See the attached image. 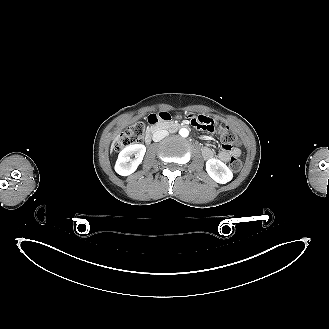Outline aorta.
<instances>
[{"label": "aorta", "mask_w": 329, "mask_h": 329, "mask_svg": "<svg viewBox=\"0 0 329 329\" xmlns=\"http://www.w3.org/2000/svg\"><path fill=\"white\" fill-rule=\"evenodd\" d=\"M179 135H180L181 137H187V136L189 135V130L186 129V128H181V129L179 130Z\"/></svg>", "instance_id": "obj_1"}]
</instances>
